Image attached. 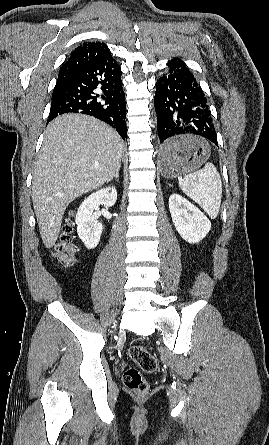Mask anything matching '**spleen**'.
I'll return each instance as SVG.
<instances>
[{
	"mask_svg": "<svg viewBox=\"0 0 269 445\" xmlns=\"http://www.w3.org/2000/svg\"><path fill=\"white\" fill-rule=\"evenodd\" d=\"M178 183L181 190L198 203L211 219L217 217L222 199V182L212 163L207 162L202 169L180 176Z\"/></svg>",
	"mask_w": 269,
	"mask_h": 445,
	"instance_id": "3e777b00",
	"label": "spleen"
}]
</instances>
